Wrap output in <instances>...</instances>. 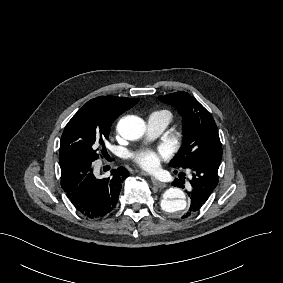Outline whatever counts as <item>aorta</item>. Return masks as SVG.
<instances>
[{
  "instance_id": "obj_1",
  "label": "aorta",
  "mask_w": 283,
  "mask_h": 283,
  "mask_svg": "<svg viewBox=\"0 0 283 283\" xmlns=\"http://www.w3.org/2000/svg\"><path fill=\"white\" fill-rule=\"evenodd\" d=\"M145 129V122L137 116H125L117 124L118 133L131 141L141 138ZM161 208L175 217L183 215L187 208L185 193L176 187L167 189L161 200Z\"/></svg>"
}]
</instances>
